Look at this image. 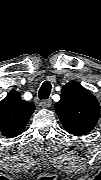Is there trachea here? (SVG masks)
Returning <instances> with one entry per match:
<instances>
[{
  "instance_id": "trachea-1",
  "label": "trachea",
  "mask_w": 101,
  "mask_h": 180,
  "mask_svg": "<svg viewBox=\"0 0 101 180\" xmlns=\"http://www.w3.org/2000/svg\"><path fill=\"white\" fill-rule=\"evenodd\" d=\"M51 88H52V85L50 82L48 81L44 82L39 89V99L40 100L48 99L51 93Z\"/></svg>"
}]
</instances>
